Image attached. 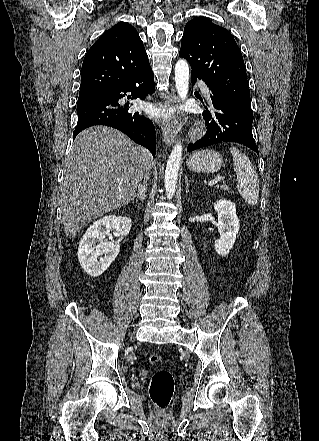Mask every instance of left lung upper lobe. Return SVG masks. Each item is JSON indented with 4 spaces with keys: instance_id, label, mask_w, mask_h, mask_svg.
I'll return each mask as SVG.
<instances>
[{
    "instance_id": "5c2ea615",
    "label": "left lung upper lobe",
    "mask_w": 319,
    "mask_h": 441,
    "mask_svg": "<svg viewBox=\"0 0 319 441\" xmlns=\"http://www.w3.org/2000/svg\"><path fill=\"white\" fill-rule=\"evenodd\" d=\"M179 56L191 65V76L202 79L218 96L252 113L243 57L232 34L204 17L189 21Z\"/></svg>"
}]
</instances>
